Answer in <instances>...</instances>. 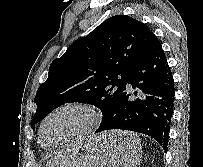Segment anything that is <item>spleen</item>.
I'll use <instances>...</instances> for the list:
<instances>
[{
    "label": "spleen",
    "mask_w": 203,
    "mask_h": 167,
    "mask_svg": "<svg viewBox=\"0 0 203 167\" xmlns=\"http://www.w3.org/2000/svg\"><path fill=\"white\" fill-rule=\"evenodd\" d=\"M112 143H116V141ZM101 152L109 157L113 167H137L142 151L139 139L135 138L131 146L124 147L119 143L116 150L102 147Z\"/></svg>",
    "instance_id": "3e777b00"
}]
</instances>
